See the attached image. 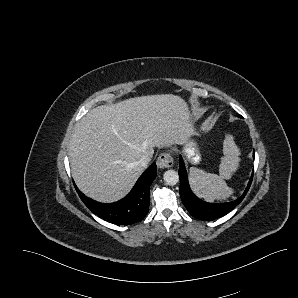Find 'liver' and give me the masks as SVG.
I'll return each instance as SVG.
<instances>
[{"label":"liver","instance_id":"6515ba94","mask_svg":"<svg viewBox=\"0 0 298 298\" xmlns=\"http://www.w3.org/2000/svg\"><path fill=\"white\" fill-rule=\"evenodd\" d=\"M197 132L190 103L175 93L120 99L91 109L71 135V176L90 199L111 204L130 193L155 147L185 144Z\"/></svg>","mask_w":298,"mask_h":298}]
</instances>
